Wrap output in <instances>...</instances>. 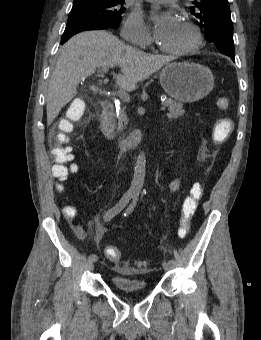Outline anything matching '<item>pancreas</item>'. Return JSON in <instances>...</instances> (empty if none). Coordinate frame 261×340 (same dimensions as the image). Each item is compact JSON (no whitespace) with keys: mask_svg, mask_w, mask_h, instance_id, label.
Listing matches in <instances>:
<instances>
[{"mask_svg":"<svg viewBox=\"0 0 261 340\" xmlns=\"http://www.w3.org/2000/svg\"><path fill=\"white\" fill-rule=\"evenodd\" d=\"M164 106L168 107V113L167 117L168 118H177L179 116H182L184 114V110L182 109V104L179 102H176L172 99H166L163 103ZM121 120L127 124V117L125 114L121 116ZM123 127V125H122Z\"/></svg>","mask_w":261,"mask_h":340,"instance_id":"obj_1","label":"pancreas"}]
</instances>
